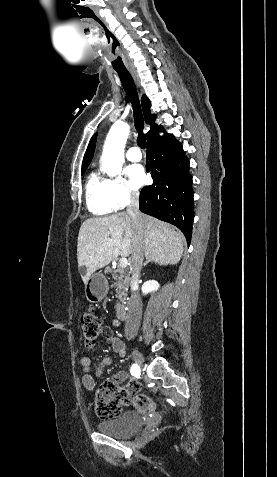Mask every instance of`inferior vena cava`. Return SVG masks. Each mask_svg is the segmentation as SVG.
<instances>
[{"mask_svg":"<svg viewBox=\"0 0 277 477\" xmlns=\"http://www.w3.org/2000/svg\"><path fill=\"white\" fill-rule=\"evenodd\" d=\"M127 214L131 217L134 229V250L132 254L133 272L131 278L132 295L129 301V311L125 323V336L132 339L136 336L142 316V304L139 298V278L144 259L143 219L139 211V194L131 192L127 206Z\"/></svg>","mask_w":277,"mask_h":477,"instance_id":"inferior-vena-cava-1","label":"inferior vena cava"}]
</instances>
